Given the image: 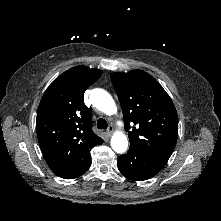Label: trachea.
Wrapping results in <instances>:
<instances>
[{
	"instance_id": "1",
	"label": "trachea",
	"mask_w": 221,
	"mask_h": 221,
	"mask_svg": "<svg viewBox=\"0 0 221 221\" xmlns=\"http://www.w3.org/2000/svg\"><path fill=\"white\" fill-rule=\"evenodd\" d=\"M107 127H108V123L105 119L99 118L97 120V128L98 129H107Z\"/></svg>"
}]
</instances>
